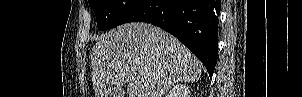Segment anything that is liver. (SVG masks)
Returning a JSON list of instances; mask_svg holds the SVG:
<instances>
[{
  "mask_svg": "<svg viewBox=\"0 0 302 97\" xmlns=\"http://www.w3.org/2000/svg\"><path fill=\"white\" fill-rule=\"evenodd\" d=\"M90 56L95 97L125 84L129 97H163L176 83H194L201 76L193 53L147 23H126L101 35Z\"/></svg>",
  "mask_w": 302,
  "mask_h": 97,
  "instance_id": "liver-1",
  "label": "liver"
}]
</instances>
